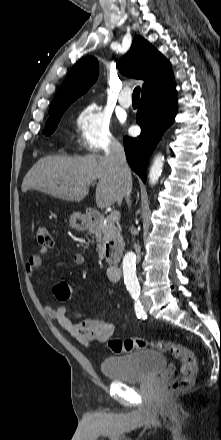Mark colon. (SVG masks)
<instances>
[{"instance_id": "colon-1", "label": "colon", "mask_w": 221, "mask_h": 440, "mask_svg": "<svg viewBox=\"0 0 221 440\" xmlns=\"http://www.w3.org/2000/svg\"><path fill=\"white\" fill-rule=\"evenodd\" d=\"M36 241L42 248L49 249L53 245L52 237L44 225H39L35 230ZM54 293L58 299L68 301L72 299L74 288L68 281H62L54 288ZM69 319L78 318L94 319V314H90L87 309H80L79 306H72L70 309ZM105 322H110V317H105ZM109 349L115 354L130 353L135 350L145 348H153L157 351L169 353L181 361V369L179 375L173 379L167 386L166 391L173 393L179 390L190 388L197 375V363L194 353L187 347L167 341H150L139 337L121 339H111L108 342Z\"/></svg>"}]
</instances>
